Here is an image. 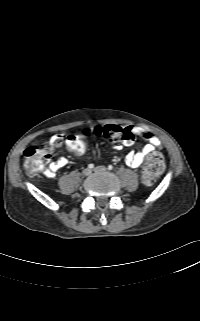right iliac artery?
I'll use <instances>...</instances> for the list:
<instances>
[{"mask_svg": "<svg viewBox=\"0 0 200 321\" xmlns=\"http://www.w3.org/2000/svg\"><path fill=\"white\" fill-rule=\"evenodd\" d=\"M88 168H89V169H93V168H94V164H89V165H88Z\"/></svg>", "mask_w": 200, "mask_h": 321, "instance_id": "1", "label": "right iliac artery"}]
</instances>
